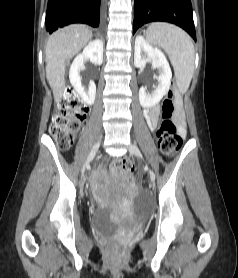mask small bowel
Here are the masks:
<instances>
[{"mask_svg": "<svg viewBox=\"0 0 238 278\" xmlns=\"http://www.w3.org/2000/svg\"><path fill=\"white\" fill-rule=\"evenodd\" d=\"M144 115H145V118L147 120V123H148L149 127L151 129H154L157 126L158 121H159V116H160L159 107L155 106L151 109H145L144 110ZM177 118H178V121H179L180 134L183 135L184 134V126H183V123L181 121L182 115H181L180 111L177 113Z\"/></svg>", "mask_w": 238, "mask_h": 278, "instance_id": "c3829d8e", "label": "small bowel"}]
</instances>
